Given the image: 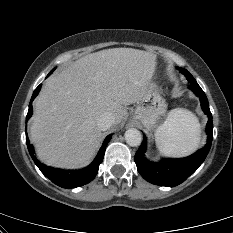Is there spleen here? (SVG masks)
Returning <instances> with one entry per match:
<instances>
[{
	"label": "spleen",
	"instance_id": "obj_1",
	"mask_svg": "<svg viewBox=\"0 0 233 233\" xmlns=\"http://www.w3.org/2000/svg\"><path fill=\"white\" fill-rule=\"evenodd\" d=\"M200 124L197 117L186 109H173L155 131L158 150L172 157H183L194 152L200 142Z\"/></svg>",
	"mask_w": 233,
	"mask_h": 233
}]
</instances>
